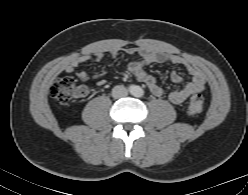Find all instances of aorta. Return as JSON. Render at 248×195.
<instances>
[{
    "mask_svg": "<svg viewBox=\"0 0 248 195\" xmlns=\"http://www.w3.org/2000/svg\"><path fill=\"white\" fill-rule=\"evenodd\" d=\"M131 93L135 97H142L144 94V91L140 86H135V87H133Z\"/></svg>",
    "mask_w": 248,
    "mask_h": 195,
    "instance_id": "762f6f07",
    "label": "aorta"
}]
</instances>
